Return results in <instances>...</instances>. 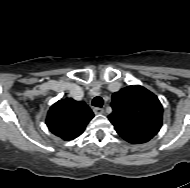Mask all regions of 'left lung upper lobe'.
Returning <instances> with one entry per match:
<instances>
[{
	"mask_svg": "<svg viewBox=\"0 0 190 188\" xmlns=\"http://www.w3.org/2000/svg\"><path fill=\"white\" fill-rule=\"evenodd\" d=\"M113 112L108 116L114 128L155 136L163 120V107L146 88L127 86L112 95Z\"/></svg>",
	"mask_w": 190,
	"mask_h": 188,
	"instance_id": "5c2ea615",
	"label": "left lung upper lobe"
}]
</instances>
